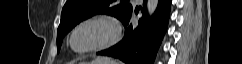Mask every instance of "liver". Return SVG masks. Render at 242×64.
I'll return each instance as SVG.
<instances>
[{
	"label": "liver",
	"instance_id": "liver-1",
	"mask_svg": "<svg viewBox=\"0 0 242 64\" xmlns=\"http://www.w3.org/2000/svg\"><path fill=\"white\" fill-rule=\"evenodd\" d=\"M102 61H105V62H108V63H111V64H116L114 61L106 58V59H102Z\"/></svg>",
	"mask_w": 242,
	"mask_h": 64
}]
</instances>
